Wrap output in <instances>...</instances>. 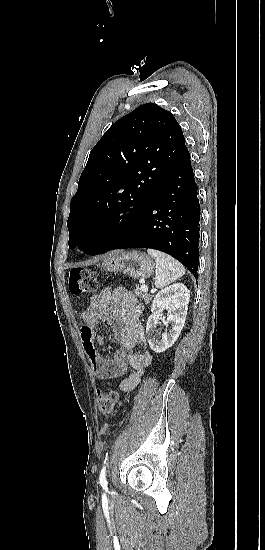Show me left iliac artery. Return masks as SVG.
<instances>
[{
  "label": "left iliac artery",
  "mask_w": 265,
  "mask_h": 550,
  "mask_svg": "<svg viewBox=\"0 0 265 550\" xmlns=\"http://www.w3.org/2000/svg\"><path fill=\"white\" fill-rule=\"evenodd\" d=\"M99 480H100L101 485H106L107 484V481H106V466L105 465L103 466V468L100 472Z\"/></svg>",
  "instance_id": "44dca946"
}]
</instances>
